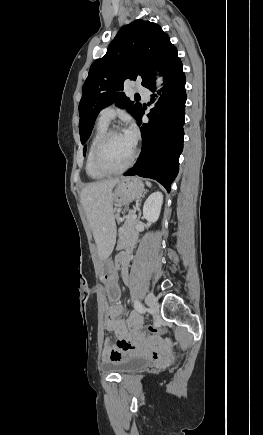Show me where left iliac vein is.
Segmentation results:
<instances>
[{
  "mask_svg": "<svg viewBox=\"0 0 263 435\" xmlns=\"http://www.w3.org/2000/svg\"><path fill=\"white\" fill-rule=\"evenodd\" d=\"M145 302L149 306L150 312L153 315H156L157 314V299L154 296V294L153 293H148L146 298H145Z\"/></svg>",
  "mask_w": 263,
  "mask_h": 435,
  "instance_id": "4c4485c4",
  "label": "left iliac vein"
}]
</instances>
